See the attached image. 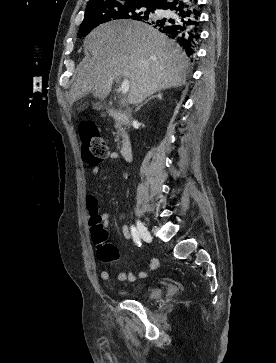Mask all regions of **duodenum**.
Wrapping results in <instances>:
<instances>
[{"label": "duodenum", "instance_id": "duodenum-1", "mask_svg": "<svg viewBox=\"0 0 276 363\" xmlns=\"http://www.w3.org/2000/svg\"><path fill=\"white\" fill-rule=\"evenodd\" d=\"M108 116L111 118L121 122L123 125H127L129 122L128 113L122 109L118 108H107L106 109ZM133 148L130 137L125 134L122 143H121V157L124 161H130L132 158Z\"/></svg>", "mask_w": 276, "mask_h": 363}]
</instances>
